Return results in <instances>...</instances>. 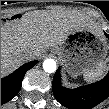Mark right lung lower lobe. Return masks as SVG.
<instances>
[{
  "instance_id": "1",
  "label": "right lung lower lobe",
  "mask_w": 109,
  "mask_h": 109,
  "mask_svg": "<svg viewBox=\"0 0 109 109\" xmlns=\"http://www.w3.org/2000/svg\"><path fill=\"white\" fill-rule=\"evenodd\" d=\"M38 61L28 62L10 75L1 79V104L11 100L20 91L26 71L34 67Z\"/></svg>"
}]
</instances>
